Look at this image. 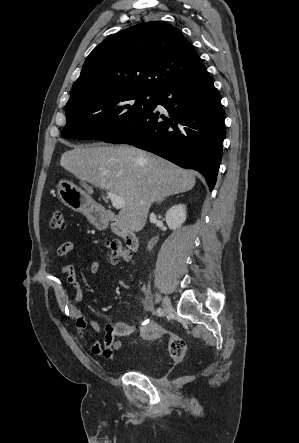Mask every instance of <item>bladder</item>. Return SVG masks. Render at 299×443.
I'll use <instances>...</instances> for the list:
<instances>
[{"instance_id": "1", "label": "bladder", "mask_w": 299, "mask_h": 443, "mask_svg": "<svg viewBox=\"0 0 299 443\" xmlns=\"http://www.w3.org/2000/svg\"><path fill=\"white\" fill-rule=\"evenodd\" d=\"M135 370L146 375H149L150 373V368L147 365H138Z\"/></svg>"}]
</instances>
